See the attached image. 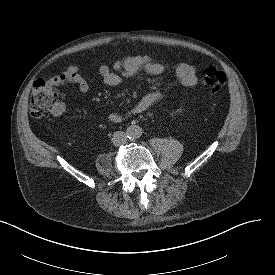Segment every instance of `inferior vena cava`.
<instances>
[{"instance_id":"obj_1","label":"inferior vena cava","mask_w":275,"mask_h":275,"mask_svg":"<svg viewBox=\"0 0 275 275\" xmlns=\"http://www.w3.org/2000/svg\"><path fill=\"white\" fill-rule=\"evenodd\" d=\"M127 142V136L123 131L114 132L112 136V143L115 146H121Z\"/></svg>"}]
</instances>
